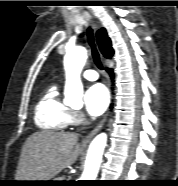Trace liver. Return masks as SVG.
Listing matches in <instances>:
<instances>
[{
  "instance_id": "6515ba94",
  "label": "liver",
  "mask_w": 178,
  "mask_h": 186,
  "mask_svg": "<svg viewBox=\"0 0 178 186\" xmlns=\"http://www.w3.org/2000/svg\"><path fill=\"white\" fill-rule=\"evenodd\" d=\"M79 153L80 144L76 133L35 132L23 145L16 179L47 181L75 163Z\"/></svg>"
}]
</instances>
